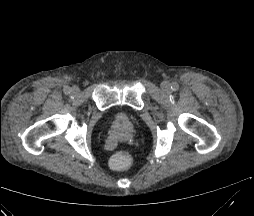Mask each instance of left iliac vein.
Masks as SVG:
<instances>
[{"mask_svg": "<svg viewBox=\"0 0 254 216\" xmlns=\"http://www.w3.org/2000/svg\"><path fill=\"white\" fill-rule=\"evenodd\" d=\"M161 87H162V90H163L164 92H166V93H169V92H170V84H169V82L164 81V82L162 83Z\"/></svg>", "mask_w": 254, "mask_h": 216, "instance_id": "1", "label": "left iliac vein"}]
</instances>
